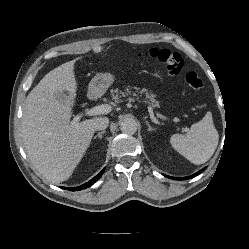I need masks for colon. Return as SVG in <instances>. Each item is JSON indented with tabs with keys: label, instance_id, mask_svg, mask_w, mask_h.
<instances>
[{
	"label": "colon",
	"instance_id": "colon-1",
	"mask_svg": "<svg viewBox=\"0 0 249 249\" xmlns=\"http://www.w3.org/2000/svg\"><path fill=\"white\" fill-rule=\"evenodd\" d=\"M138 55L139 57L157 61L170 75L177 76L182 73L184 61L176 52L167 49L152 48L140 52ZM185 82L195 90H199L203 86L201 78L195 72H188L185 75Z\"/></svg>",
	"mask_w": 249,
	"mask_h": 249
}]
</instances>
